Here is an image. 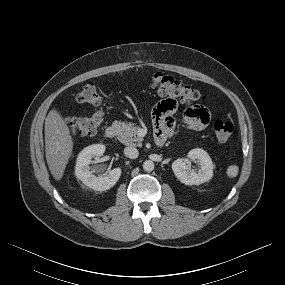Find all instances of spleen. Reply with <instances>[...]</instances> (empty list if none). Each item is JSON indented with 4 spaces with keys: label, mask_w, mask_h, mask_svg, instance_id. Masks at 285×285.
<instances>
[{
    "label": "spleen",
    "mask_w": 285,
    "mask_h": 285,
    "mask_svg": "<svg viewBox=\"0 0 285 285\" xmlns=\"http://www.w3.org/2000/svg\"><path fill=\"white\" fill-rule=\"evenodd\" d=\"M239 168L236 165H231L227 168L226 174L230 178H234L238 175Z\"/></svg>",
    "instance_id": "3e777b00"
}]
</instances>
